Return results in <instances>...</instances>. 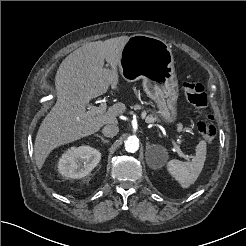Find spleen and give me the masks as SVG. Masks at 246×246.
<instances>
[{"mask_svg": "<svg viewBox=\"0 0 246 246\" xmlns=\"http://www.w3.org/2000/svg\"><path fill=\"white\" fill-rule=\"evenodd\" d=\"M206 153V142L200 141L196 146V154L191 161L182 162L173 159L167 163L168 171L180 183L182 188H188L195 183L204 167Z\"/></svg>", "mask_w": 246, "mask_h": 246, "instance_id": "3e777b00", "label": "spleen"}]
</instances>
